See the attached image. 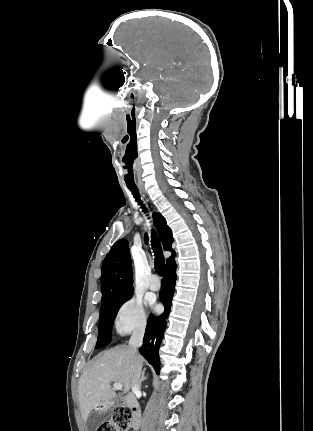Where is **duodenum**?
<instances>
[{
	"label": "duodenum",
	"mask_w": 313,
	"mask_h": 431,
	"mask_svg": "<svg viewBox=\"0 0 313 431\" xmlns=\"http://www.w3.org/2000/svg\"><path fill=\"white\" fill-rule=\"evenodd\" d=\"M124 403L130 408L133 417V428L137 429L140 425V408L136 398L133 395H127Z\"/></svg>",
	"instance_id": "duodenum-1"
}]
</instances>
